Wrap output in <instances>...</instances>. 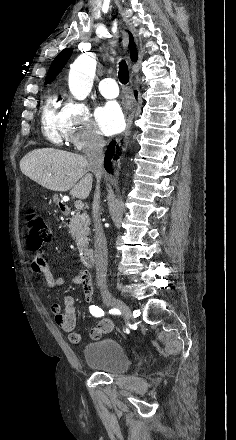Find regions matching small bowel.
Returning a JSON list of instances; mask_svg holds the SVG:
<instances>
[{
    "instance_id": "obj_1",
    "label": "small bowel",
    "mask_w": 236,
    "mask_h": 440,
    "mask_svg": "<svg viewBox=\"0 0 236 440\" xmlns=\"http://www.w3.org/2000/svg\"><path fill=\"white\" fill-rule=\"evenodd\" d=\"M31 270L34 274L42 275L44 277L46 286L49 289H54L65 282L64 277L55 276L52 273L49 264L44 258V252L42 250H36L34 252L31 262ZM73 282L82 286L86 303H91L94 287L90 274L85 269L79 268L73 278ZM50 310L56 325L67 334L70 342L75 344L78 343L80 341V335L75 330L77 317L74 297L72 295H66L63 298V308L60 304L54 303L51 305ZM113 326L114 324L112 320L103 319L89 329V334L92 339H98L103 333H110Z\"/></svg>"
}]
</instances>
